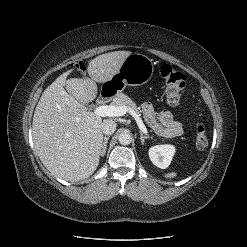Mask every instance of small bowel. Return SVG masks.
<instances>
[{
  "label": "small bowel",
  "mask_w": 247,
  "mask_h": 247,
  "mask_svg": "<svg viewBox=\"0 0 247 247\" xmlns=\"http://www.w3.org/2000/svg\"><path fill=\"white\" fill-rule=\"evenodd\" d=\"M142 111L146 122L158 135L173 138L182 134V123L175 120L169 110L156 111L151 103L146 102L142 106Z\"/></svg>",
  "instance_id": "1"
}]
</instances>
